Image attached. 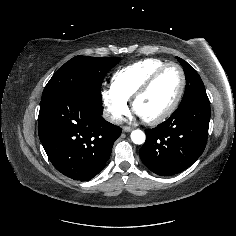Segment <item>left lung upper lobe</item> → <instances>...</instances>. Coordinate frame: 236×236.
<instances>
[{"label":"left lung upper lobe","instance_id":"obj_1","mask_svg":"<svg viewBox=\"0 0 236 236\" xmlns=\"http://www.w3.org/2000/svg\"><path fill=\"white\" fill-rule=\"evenodd\" d=\"M186 76V88L181 105L199 97H206V90L199 74L183 59L177 57Z\"/></svg>","mask_w":236,"mask_h":236}]
</instances>
